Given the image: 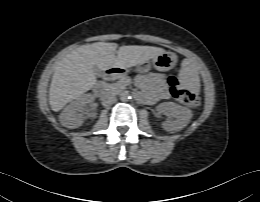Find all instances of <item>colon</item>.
Here are the masks:
<instances>
[{"label":"colon","instance_id":"colon-1","mask_svg":"<svg viewBox=\"0 0 260 202\" xmlns=\"http://www.w3.org/2000/svg\"><path fill=\"white\" fill-rule=\"evenodd\" d=\"M168 85L171 96L180 103L190 107H196L200 104V95L186 89L176 76L170 75L168 77Z\"/></svg>","mask_w":260,"mask_h":202}]
</instances>
